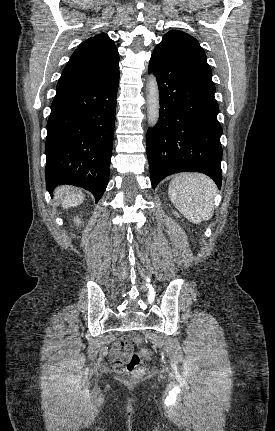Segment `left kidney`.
I'll use <instances>...</instances> for the list:
<instances>
[{"instance_id":"obj_1","label":"left kidney","mask_w":275,"mask_h":431,"mask_svg":"<svg viewBox=\"0 0 275 431\" xmlns=\"http://www.w3.org/2000/svg\"><path fill=\"white\" fill-rule=\"evenodd\" d=\"M175 215H177L179 217V214L177 212H174Z\"/></svg>"}]
</instances>
